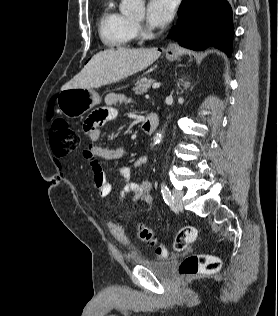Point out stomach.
<instances>
[{"mask_svg":"<svg viewBox=\"0 0 278 316\" xmlns=\"http://www.w3.org/2000/svg\"><path fill=\"white\" fill-rule=\"evenodd\" d=\"M170 61L178 59V54L167 55ZM100 103V96L91 88L64 89L58 94L57 105L68 118H77Z\"/></svg>","mask_w":278,"mask_h":316,"instance_id":"0dacf381","label":"stomach"}]
</instances>
